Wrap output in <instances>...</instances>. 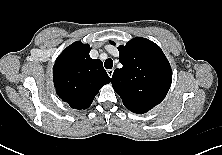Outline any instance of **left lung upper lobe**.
<instances>
[{"mask_svg":"<svg viewBox=\"0 0 222 155\" xmlns=\"http://www.w3.org/2000/svg\"><path fill=\"white\" fill-rule=\"evenodd\" d=\"M118 50L123 67L114 71L112 86L128 110L146 113L165 98L171 66L161 48L146 38L135 37Z\"/></svg>","mask_w":222,"mask_h":155,"instance_id":"obj_1","label":"left lung upper lobe"}]
</instances>
